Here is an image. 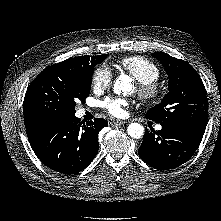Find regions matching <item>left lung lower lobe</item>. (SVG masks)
Listing matches in <instances>:
<instances>
[{"label": "left lung lower lobe", "instance_id": "left-lung-lower-lobe-1", "mask_svg": "<svg viewBox=\"0 0 221 221\" xmlns=\"http://www.w3.org/2000/svg\"><path fill=\"white\" fill-rule=\"evenodd\" d=\"M161 126L162 130L157 132L146 130L138 153L153 168L169 170L190 159L204 132L185 127Z\"/></svg>", "mask_w": 221, "mask_h": 221}]
</instances>
